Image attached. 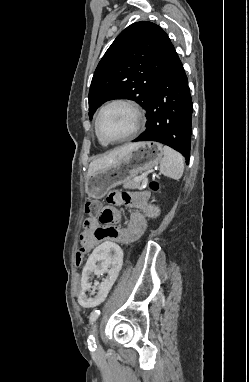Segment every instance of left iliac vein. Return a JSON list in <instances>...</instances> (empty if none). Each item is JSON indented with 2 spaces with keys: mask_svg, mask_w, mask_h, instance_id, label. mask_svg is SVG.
Masks as SVG:
<instances>
[{
  "mask_svg": "<svg viewBox=\"0 0 249 382\" xmlns=\"http://www.w3.org/2000/svg\"><path fill=\"white\" fill-rule=\"evenodd\" d=\"M91 333H92L93 337L95 338V343L97 344L98 349H100V345H99V342H98V334H97V325H96V323H94L92 325Z\"/></svg>",
  "mask_w": 249,
  "mask_h": 382,
  "instance_id": "left-iliac-vein-1",
  "label": "left iliac vein"
}]
</instances>
